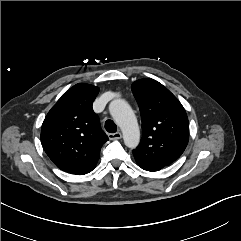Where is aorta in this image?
<instances>
[{
	"label": "aorta",
	"instance_id": "aorta-1",
	"mask_svg": "<svg viewBox=\"0 0 241 241\" xmlns=\"http://www.w3.org/2000/svg\"><path fill=\"white\" fill-rule=\"evenodd\" d=\"M109 111L123 133L124 143L135 148L140 141V130L136 116L130 105L122 99H115L109 105Z\"/></svg>",
	"mask_w": 241,
	"mask_h": 241
}]
</instances>
